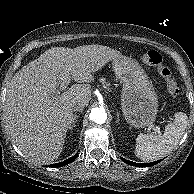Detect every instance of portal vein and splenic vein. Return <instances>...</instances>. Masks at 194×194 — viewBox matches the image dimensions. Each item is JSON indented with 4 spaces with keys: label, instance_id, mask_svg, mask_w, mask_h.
Returning <instances> with one entry per match:
<instances>
[{
    "label": "portal vein and splenic vein",
    "instance_id": "1",
    "mask_svg": "<svg viewBox=\"0 0 194 194\" xmlns=\"http://www.w3.org/2000/svg\"><path fill=\"white\" fill-rule=\"evenodd\" d=\"M61 79H62V82H61L59 90L57 91L58 94L60 93V90H65L67 88V86L69 85V83H70L69 74L62 75ZM153 130L155 131L154 132L155 134L156 133L161 134L160 133V127L156 126V127L153 128Z\"/></svg>",
    "mask_w": 194,
    "mask_h": 194
}]
</instances>
